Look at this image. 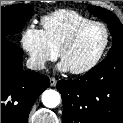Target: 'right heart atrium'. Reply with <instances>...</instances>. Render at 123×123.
I'll list each match as a JSON object with an SVG mask.
<instances>
[{
  "mask_svg": "<svg viewBox=\"0 0 123 123\" xmlns=\"http://www.w3.org/2000/svg\"><path fill=\"white\" fill-rule=\"evenodd\" d=\"M20 43L34 69H44L49 61L57 58V52L49 45L42 29L33 24L23 29Z\"/></svg>",
  "mask_w": 123,
  "mask_h": 123,
  "instance_id": "right-heart-atrium-1",
  "label": "right heart atrium"
}]
</instances>
